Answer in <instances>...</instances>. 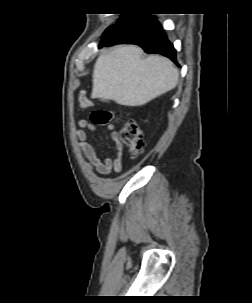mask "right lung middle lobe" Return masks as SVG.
I'll return each mask as SVG.
<instances>
[{
	"mask_svg": "<svg viewBox=\"0 0 252 303\" xmlns=\"http://www.w3.org/2000/svg\"><path fill=\"white\" fill-rule=\"evenodd\" d=\"M123 16H124V15H122L121 18H122ZM115 25H116V24H115ZM115 25L109 27V28L104 32V35H105L107 32H109Z\"/></svg>",
	"mask_w": 252,
	"mask_h": 303,
	"instance_id": "obj_1",
	"label": "right lung middle lobe"
}]
</instances>
